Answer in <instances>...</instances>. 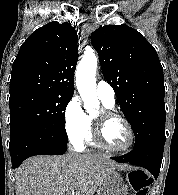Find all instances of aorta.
Wrapping results in <instances>:
<instances>
[{"label":"aorta","mask_w":178,"mask_h":195,"mask_svg":"<svg viewBox=\"0 0 178 195\" xmlns=\"http://www.w3.org/2000/svg\"><path fill=\"white\" fill-rule=\"evenodd\" d=\"M97 57L94 53H85L76 70V86L84 102V109L93 113L99 107L96 95Z\"/></svg>","instance_id":"1"}]
</instances>
